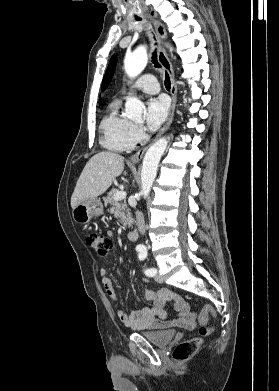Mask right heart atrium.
Returning a JSON list of instances; mask_svg holds the SVG:
<instances>
[{"label": "right heart atrium", "instance_id": "1", "mask_svg": "<svg viewBox=\"0 0 279 391\" xmlns=\"http://www.w3.org/2000/svg\"><path fill=\"white\" fill-rule=\"evenodd\" d=\"M132 137L135 141L139 140L143 136V128L140 125L134 124L132 125L131 130Z\"/></svg>", "mask_w": 279, "mask_h": 391}]
</instances>
